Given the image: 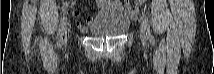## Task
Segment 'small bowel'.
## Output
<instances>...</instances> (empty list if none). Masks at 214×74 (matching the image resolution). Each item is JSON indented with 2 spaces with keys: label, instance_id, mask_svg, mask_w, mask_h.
Listing matches in <instances>:
<instances>
[{
  "label": "small bowel",
  "instance_id": "c3829d8e",
  "mask_svg": "<svg viewBox=\"0 0 214 74\" xmlns=\"http://www.w3.org/2000/svg\"><path fill=\"white\" fill-rule=\"evenodd\" d=\"M65 7L67 8L68 6L65 5ZM97 8L103 11L108 9L121 8L123 12L131 18L137 17L139 12L138 5L132 8L130 4L127 2H125L124 4H121L117 1H104V0L97 1ZM72 14L76 18V26L78 27L79 30L83 32H87L89 29L88 26L91 25L96 19L95 16H90L87 18L85 23L84 20L80 17V14L78 11H72Z\"/></svg>",
  "mask_w": 214,
  "mask_h": 74
}]
</instances>
